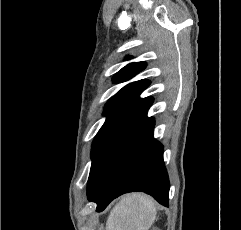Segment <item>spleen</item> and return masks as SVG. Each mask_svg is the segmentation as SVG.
<instances>
[{"instance_id":"3e777b00","label":"spleen","mask_w":241,"mask_h":230,"mask_svg":"<svg viewBox=\"0 0 241 230\" xmlns=\"http://www.w3.org/2000/svg\"><path fill=\"white\" fill-rule=\"evenodd\" d=\"M155 201L142 193L127 194L110 212L106 230H148L156 219Z\"/></svg>"}]
</instances>
